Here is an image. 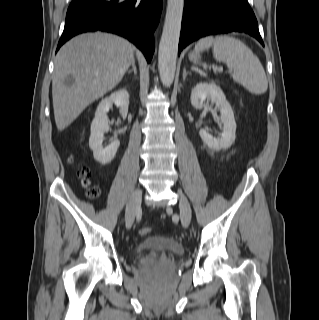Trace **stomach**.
Here are the masks:
<instances>
[{"mask_svg":"<svg viewBox=\"0 0 319 320\" xmlns=\"http://www.w3.org/2000/svg\"><path fill=\"white\" fill-rule=\"evenodd\" d=\"M200 58V54L196 51L189 53V59L193 62H197Z\"/></svg>","mask_w":319,"mask_h":320,"instance_id":"stomach-1","label":"stomach"}]
</instances>
